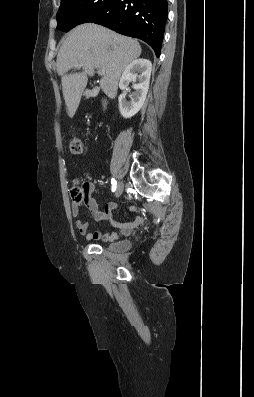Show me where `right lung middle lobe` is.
<instances>
[{"mask_svg": "<svg viewBox=\"0 0 254 397\" xmlns=\"http://www.w3.org/2000/svg\"><path fill=\"white\" fill-rule=\"evenodd\" d=\"M113 0H61L57 29L67 32L75 26L100 16Z\"/></svg>", "mask_w": 254, "mask_h": 397, "instance_id": "dd1d6c3e", "label": "right lung middle lobe"}]
</instances>
